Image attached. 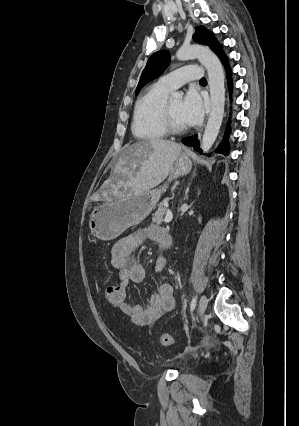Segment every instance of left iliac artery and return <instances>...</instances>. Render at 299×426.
Here are the masks:
<instances>
[{
    "instance_id": "1",
    "label": "left iliac artery",
    "mask_w": 299,
    "mask_h": 426,
    "mask_svg": "<svg viewBox=\"0 0 299 426\" xmlns=\"http://www.w3.org/2000/svg\"><path fill=\"white\" fill-rule=\"evenodd\" d=\"M195 306H196V297H193V299L191 301V305H190L191 311H193L195 309Z\"/></svg>"
}]
</instances>
